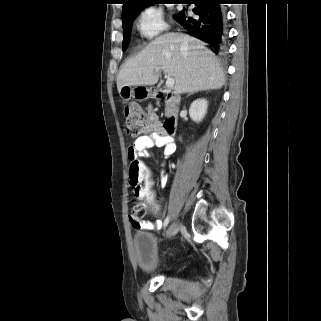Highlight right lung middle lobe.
<instances>
[{"label":"right lung middle lobe","instance_id":"dd1d6c3e","mask_svg":"<svg viewBox=\"0 0 321 321\" xmlns=\"http://www.w3.org/2000/svg\"><path fill=\"white\" fill-rule=\"evenodd\" d=\"M139 11L132 12L122 16V24H123V46L122 49L125 51L129 45L130 41V34H131V27L133 20L136 18Z\"/></svg>","mask_w":321,"mask_h":321}]
</instances>
